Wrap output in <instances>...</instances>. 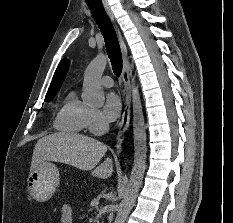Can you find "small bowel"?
I'll return each mask as SVG.
<instances>
[{"mask_svg":"<svg viewBox=\"0 0 233 223\" xmlns=\"http://www.w3.org/2000/svg\"><path fill=\"white\" fill-rule=\"evenodd\" d=\"M59 223H73L72 207L69 204L63 205L61 209Z\"/></svg>","mask_w":233,"mask_h":223,"instance_id":"c3829d8e","label":"small bowel"}]
</instances>
